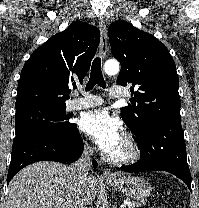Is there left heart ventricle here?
<instances>
[{"instance_id": "left-heart-ventricle-1", "label": "left heart ventricle", "mask_w": 199, "mask_h": 208, "mask_svg": "<svg viewBox=\"0 0 199 208\" xmlns=\"http://www.w3.org/2000/svg\"><path fill=\"white\" fill-rule=\"evenodd\" d=\"M128 153L129 149L122 140L121 143L110 153V155L114 157H123Z\"/></svg>"}]
</instances>
